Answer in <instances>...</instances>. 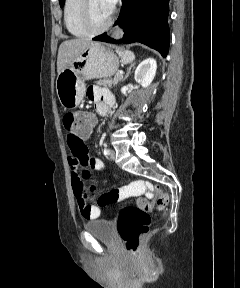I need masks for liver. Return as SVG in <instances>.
Listing matches in <instances>:
<instances>
[{
    "label": "liver",
    "instance_id": "obj_1",
    "mask_svg": "<svg viewBox=\"0 0 240 288\" xmlns=\"http://www.w3.org/2000/svg\"><path fill=\"white\" fill-rule=\"evenodd\" d=\"M93 41L88 38H77L61 43L57 57L58 74L68 66V64L80 55Z\"/></svg>",
    "mask_w": 240,
    "mask_h": 288
}]
</instances>
